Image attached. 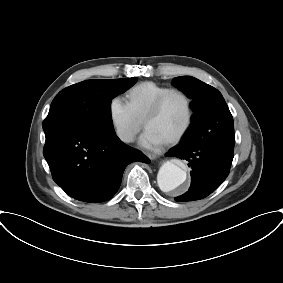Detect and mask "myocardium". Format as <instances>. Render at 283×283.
Masks as SVG:
<instances>
[{
  "label": "myocardium",
  "mask_w": 283,
  "mask_h": 283,
  "mask_svg": "<svg viewBox=\"0 0 283 283\" xmlns=\"http://www.w3.org/2000/svg\"><path fill=\"white\" fill-rule=\"evenodd\" d=\"M173 94H178V95L182 96L183 99L185 100L186 109H187V116H186V120H185V123L182 126V128L179 130V132L177 134H175L170 139L166 140L165 141L166 144H174V143L179 142L185 136V134L187 133V131L189 130V128L192 124L193 116H194V110H193V101H192L190 95L186 91H184L180 88H170V89L166 90L153 103V105L150 107V109L148 110L147 114L145 115V117L143 119V126H144V128H146L147 123L161 111V109H162L164 103L166 102V100L168 99V97L173 95Z\"/></svg>",
  "instance_id": "obj_1"
}]
</instances>
